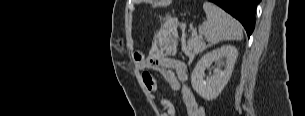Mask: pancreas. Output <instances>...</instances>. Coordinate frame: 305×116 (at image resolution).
<instances>
[{
	"mask_svg": "<svg viewBox=\"0 0 305 116\" xmlns=\"http://www.w3.org/2000/svg\"><path fill=\"white\" fill-rule=\"evenodd\" d=\"M206 49L202 35H192L187 45L183 44L182 51L189 57L194 58L196 54L202 53Z\"/></svg>",
	"mask_w": 305,
	"mask_h": 116,
	"instance_id": "obj_1",
	"label": "pancreas"
}]
</instances>
